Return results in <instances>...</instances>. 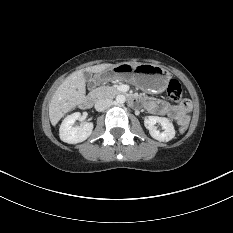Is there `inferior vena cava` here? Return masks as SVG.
Here are the masks:
<instances>
[{"mask_svg": "<svg viewBox=\"0 0 233 233\" xmlns=\"http://www.w3.org/2000/svg\"><path fill=\"white\" fill-rule=\"evenodd\" d=\"M113 101L111 99H99L95 103V109L99 112L108 109L112 105Z\"/></svg>", "mask_w": 233, "mask_h": 233, "instance_id": "obj_1", "label": "inferior vena cava"}]
</instances>
